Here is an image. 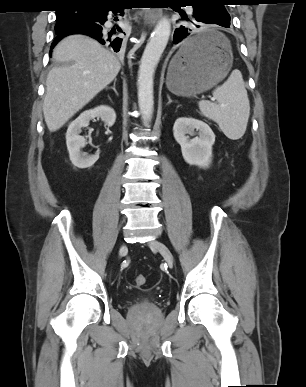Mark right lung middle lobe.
I'll list each match as a JSON object with an SVG mask.
<instances>
[{"label": "right lung middle lobe", "instance_id": "right-lung-middle-lobe-1", "mask_svg": "<svg viewBox=\"0 0 306 387\" xmlns=\"http://www.w3.org/2000/svg\"><path fill=\"white\" fill-rule=\"evenodd\" d=\"M92 9L93 8L91 7H86L84 9H77V10H74L71 8L58 10L56 12V16H57V22L55 26L56 32L84 22L89 15V11Z\"/></svg>", "mask_w": 306, "mask_h": 387}]
</instances>
